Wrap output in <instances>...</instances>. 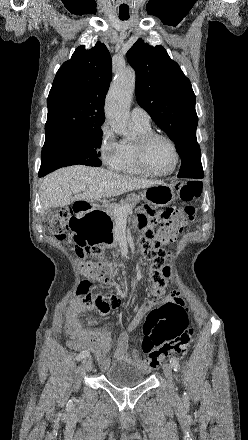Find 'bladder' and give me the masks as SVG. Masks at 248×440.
I'll list each match as a JSON object with an SVG mask.
<instances>
[{"label": "bladder", "mask_w": 248, "mask_h": 440, "mask_svg": "<svg viewBox=\"0 0 248 440\" xmlns=\"http://www.w3.org/2000/svg\"><path fill=\"white\" fill-rule=\"evenodd\" d=\"M148 371L135 368L126 363L110 366L104 373L105 379L116 387H131L146 380Z\"/></svg>", "instance_id": "1"}]
</instances>
